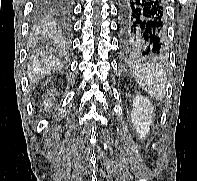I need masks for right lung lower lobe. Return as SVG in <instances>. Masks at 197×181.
Returning <instances> with one entry per match:
<instances>
[{"label":"right lung lower lobe","mask_w":197,"mask_h":181,"mask_svg":"<svg viewBox=\"0 0 197 181\" xmlns=\"http://www.w3.org/2000/svg\"><path fill=\"white\" fill-rule=\"evenodd\" d=\"M43 19L56 21L68 27L72 16V0H38Z\"/></svg>","instance_id":"obj_1"}]
</instances>
